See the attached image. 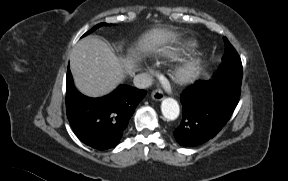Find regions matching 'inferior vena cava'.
<instances>
[{
  "label": "inferior vena cava",
  "mask_w": 288,
  "mask_h": 181,
  "mask_svg": "<svg viewBox=\"0 0 288 181\" xmlns=\"http://www.w3.org/2000/svg\"><path fill=\"white\" fill-rule=\"evenodd\" d=\"M134 85L139 89H146L152 84V77L147 73L137 74L134 77Z\"/></svg>",
  "instance_id": "602c4592"
}]
</instances>
